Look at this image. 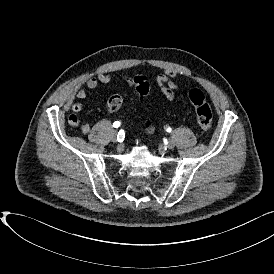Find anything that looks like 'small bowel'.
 Returning a JSON list of instances; mask_svg holds the SVG:
<instances>
[{
    "instance_id": "obj_1",
    "label": "small bowel",
    "mask_w": 274,
    "mask_h": 274,
    "mask_svg": "<svg viewBox=\"0 0 274 274\" xmlns=\"http://www.w3.org/2000/svg\"><path fill=\"white\" fill-rule=\"evenodd\" d=\"M180 74L171 69H165L156 77V84L159 87L162 95L169 102L175 100V93L181 88L179 82ZM116 78L108 73H99L96 76H91L86 80L85 86L81 87L76 94L77 101L74 102L71 106V109L74 113H78L82 110V101L85 100L88 96V90L96 89L100 84H110L114 82ZM121 80L124 81L127 85L132 86L131 79L127 77H121ZM80 131L83 134L90 132L91 126L88 123H79Z\"/></svg>"
}]
</instances>
